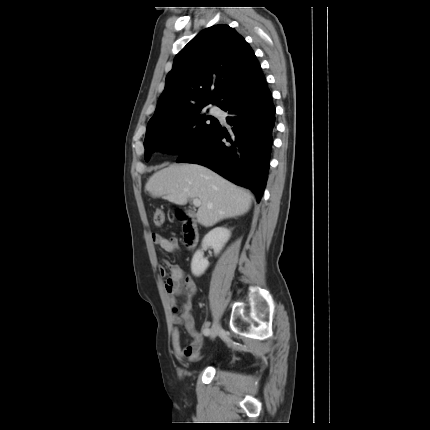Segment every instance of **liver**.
<instances>
[{
	"mask_svg": "<svg viewBox=\"0 0 430 430\" xmlns=\"http://www.w3.org/2000/svg\"><path fill=\"white\" fill-rule=\"evenodd\" d=\"M145 189L153 197L179 205L198 198L201 205L196 218L205 227L242 215L250 208L249 193L198 164L170 165L157 171L149 178Z\"/></svg>",
	"mask_w": 430,
	"mask_h": 430,
	"instance_id": "1",
	"label": "liver"
}]
</instances>
